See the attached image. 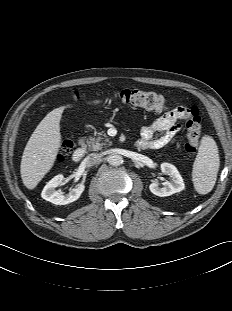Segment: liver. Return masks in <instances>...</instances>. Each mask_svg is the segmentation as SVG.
I'll return each mask as SVG.
<instances>
[{
  "label": "liver",
  "mask_w": 232,
  "mask_h": 311,
  "mask_svg": "<svg viewBox=\"0 0 232 311\" xmlns=\"http://www.w3.org/2000/svg\"><path fill=\"white\" fill-rule=\"evenodd\" d=\"M95 100L89 104H98ZM67 106L49 112L38 124L24 149L20 173L23 184L32 190L53 167L61 147L60 120Z\"/></svg>",
  "instance_id": "liver-1"
}]
</instances>
